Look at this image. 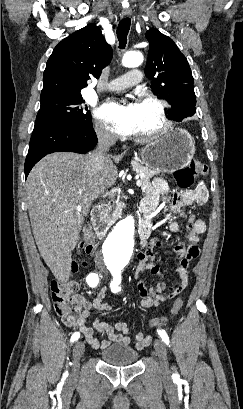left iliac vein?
<instances>
[{
	"mask_svg": "<svg viewBox=\"0 0 243 409\" xmlns=\"http://www.w3.org/2000/svg\"><path fill=\"white\" fill-rule=\"evenodd\" d=\"M154 347H155V351L159 359V365H160L161 372L163 376L166 377L169 374V366H168V361H167V351H166L165 343L160 339H156L154 342Z\"/></svg>",
	"mask_w": 243,
	"mask_h": 409,
	"instance_id": "4c4485c4",
	"label": "left iliac vein"
}]
</instances>
